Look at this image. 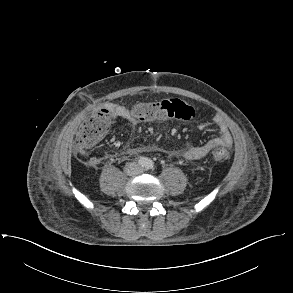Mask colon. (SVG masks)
<instances>
[{
    "label": "colon",
    "instance_id": "1",
    "mask_svg": "<svg viewBox=\"0 0 293 293\" xmlns=\"http://www.w3.org/2000/svg\"><path fill=\"white\" fill-rule=\"evenodd\" d=\"M133 116L140 121H159L166 118L183 120L192 119L195 110L192 106L178 98L158 102L138 103L133 107ZM113 115L108 109H101L90 114L81 124L75 141V152L83 158L90 149L100 141L108 131ZM229 149L216 142L211 144L210 156L214 161H225L229 157Z\"/></svg>",
    "mask_w": 293,
    "mask_h": 293
}]
</instances>
